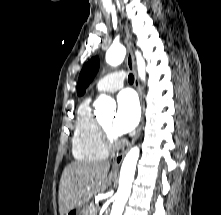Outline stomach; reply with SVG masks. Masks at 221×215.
I'll return each mask as SVG.
<instances>
[{
  "label": "stomach",
  "mask_w": 221,
  "mask_h": 215,
  "mask_svg": "<svg viewBox=\"0 0 221 215\" xmlns=\"http://www.w3.org/2000/svg\"><path fill=\"white\" fill-rule=\"evenodd\" d=\"M85 206L74 208L66 213V215H84L85 214Z\"/></svg>",
  "instance_id": "1"
}]
</instances>
